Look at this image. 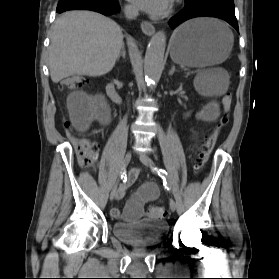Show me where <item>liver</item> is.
Returning a JSON list of instances; mask_svg holds the SVG:
<instances>
[{
	"mask_svg": "<svg viewBox=\"0 0 279 279\" xmlns=\"http://www.w3.org/2000/svg\"><path fill=\"white\" fill-rule=\"evenodd\" d=\"M49 70L58 83L76 75L91 77L112 70L123 45L120 26L91 11H69L56 21L50 36Z\"/></svg>",
	"mask_w": 279,
	"mask_h": 279,
	"instance_id": "liver-1",
	"label": "liver"
}]
</instances>
